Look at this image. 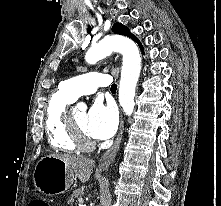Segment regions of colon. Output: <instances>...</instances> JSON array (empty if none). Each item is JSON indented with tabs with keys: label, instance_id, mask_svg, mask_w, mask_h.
Here are the masks:
<instances>
[{
	"label": "colon",
	"instance_id": "5ec220e1",
	"mask_svg": "<svg viewBox=\"0 0 221 206\" xmlns=\"http://www.w3.org/2000/svg\"><path fill=\"white\" fill-rule=\"evenodd\" d=\"M29 206H50V205L43 200H33L32 202H30Z\"/></svg>",
	"mask_w": 221,
	"mask_h": 206
}]
</instances>
